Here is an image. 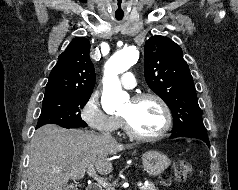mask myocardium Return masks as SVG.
I'll use <instances>...</instances> for the list:
<instances>
[{
    "mask_svg": "<svg viewBox=\"0 0 238 190\" xmlns=\"http://www.w3.org/2000/svg\"><path fill=\"white\" fill-rule=\"evenodd\" d=\"M154 100L159 104L161 107L163 114H164V125L163 127L155 134L152 135H145L138 133L135 131L131 124L129 123L128 119L122 115H120V120L122 123V126L125 130V132L133 139L139 140V141H154L158 140L162 137H164L167 132L170 130L172 126V113L167 105V103L161 98L159 95L154 94V93H149V92H144V93H137L131 97L132 102H140L143 100Z\"/></svg>",
    "mask_w": 238,
    "mask_h": 190,
    "instance_id": "1",
    "label": "myocardium"
}]
</instances>
